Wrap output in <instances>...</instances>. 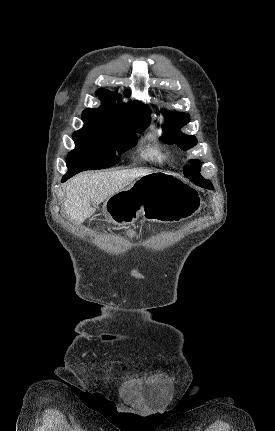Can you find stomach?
I'll return each mask as SVG.
<instances>
[{
    "label": "stomach",
    "instance_id": "stomach-1",
    "mask_svg": "<svg viewBox=\"0 0 275 431\" xmlns=\"http://www.w3.org/2000/svg\"><path fill=\"white\" fill-rule=\"evenodd\" d=\"M202 203L200 194L182 179L152 172L108 198L103 212L119 226L131 225L140 216L151 222L173 223L198 213Z\"/></svg>",
    "mask_w": 275,
    "mask_h": 431
}]
</instances>
